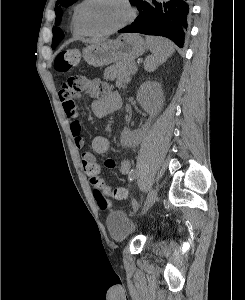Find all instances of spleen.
<instances>
[{
	"instance_id": "3e777b00",
	"label": "spleen",
	"mask_w": 245,
	"mask_h": 300,
	"mask_svg": "<svg viewBox=\"0 0 245 300\" xmlns=\"http://www.w3.org/2000/svg\"><path fill=\"white\" fill-rule=\"evenodd\" d=\"M146 42L152 54L146 57L144 69L153 72L174 53L175 48L172 42L161 37L147 36Z\"/></svg>"
}]
</instances>
